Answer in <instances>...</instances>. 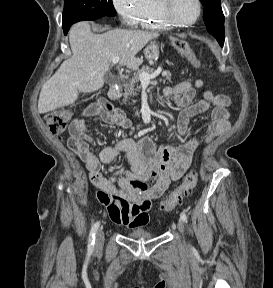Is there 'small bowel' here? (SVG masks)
<instances>
[{"mask_svg": "<svg viewBox=\"0 0 273 288\" xmlns=\"http://www.w3.org/2000/svg\"><path fill=\"white\" fill-rule=\"evenodd\" d=\"M197 90L203 98L196 101ZM163 93L170 97L181 111L177 118V132L187 134L192 117L209 112L210 123L199 135L178 146L157 147L152 139L143 136L135 141L124 138L114 146L103 148L98 155L92 149L93 140L87 135V119L99 116L105 123L128 129L132 122L126 114L109 104L98 101L85 108L70 127L68 147L84 162L91 184L97 188L96 197L106 207L110 219L119 225L141 227L149 221L151 201L159 198L179 180L191 165L193 153L201 143H209L222 136L230 127L231 100L223 94H213L203 80L181 82L166 87ZM124 153L130 168L106 174L104 165Z\"/></svg>", "mask_w": 273, "mask_h": 288, "instance_id": "small-bowel-1", "label": "small bowel"}]
</instances>
